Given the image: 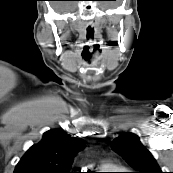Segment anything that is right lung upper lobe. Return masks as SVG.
<instances>
[{
	"label": "right lung upper lobe",
	"instance_id": "right-lung-upper-lobe-1",
	"mask_svg": "<svg viewBox=\"0 0 173 173\" xmlns=\"http://www.w3.org/2000/svg\"><path fill=\"white\" fill-rule=\"evenodd\" d=\"M85 145L80 138L52 129L41 142L31 146L16 165L14 173H70L74 155Z\"/></svg>",
	"mask_w": 173,
	"mask_h": 173
}]
</instances>
